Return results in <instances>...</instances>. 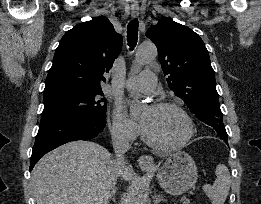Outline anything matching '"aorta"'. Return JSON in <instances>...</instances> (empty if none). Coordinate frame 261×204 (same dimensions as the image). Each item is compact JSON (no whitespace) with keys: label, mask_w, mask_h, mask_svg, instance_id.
<instances>
[{"label":"aorta","mask_w":261,"mask_h":204,"mask_svg":"<svg viewBox=\"0 0 261 204\" xmlns=\"http://www.w3.org/2000/svg\"><path fill=\"white\" fill-rule=\"evenodd\" d=\"M157 56V48L153 43L141 44L135 54V64L138 66L145 65L155 59ZM144 105L136 100L130 105V116L138 117L143 111ZM144 186L140 181L132 184L128 194V204H143Z\"/></svg>","instance_id":"762f6f07"}]
</instances>
